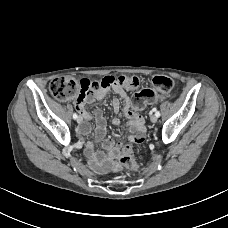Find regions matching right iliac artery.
<instances>
[{
	"mask_svg": "<svg viewBox=\"0 0 228 228\" xmlns=\"http://www.w3.org/2000/svg\"><path fill=\"white\" fill-rule=\"evenodd\" d=\"M77 117H78L77 114L74 113V114H73V119H77Z\"/></svg>",
	"mask_w": 228,
	"mask_h": 228,
	"instance_id": "82829eb1",
	"label": "right iliac artery"
}]
</instances>
